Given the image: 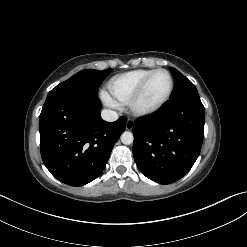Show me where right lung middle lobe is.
Returning a JSON list of instances; mask_svg holds the SVG:
<instances>
[{"label":"right lung middle lobe","instance_id":"obj_1","mask_svg":"<svg viewBox=\"0 0 247 247\" xmlns=\"http://www.w3.org/2000/svg\"><path fill=\"white\" fill-rule=\"evenodd\" d=\"M111 71L112 69L103 71L95 69L82 70L68 80L58 84L49 92L47 98L63 94L97 97L100 83Z\"/></svg>","mask_w":247,"mask_h":247}]
</instances>
